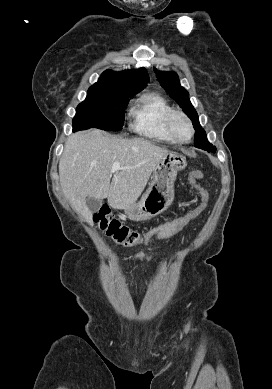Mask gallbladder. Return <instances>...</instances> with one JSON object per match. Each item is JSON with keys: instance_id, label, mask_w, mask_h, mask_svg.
<instances>
[{"instance_id": "gallbladder-1", "label": "gallbladder", "mask_w": 272, "mask_h": 389, "mask_svg": "<svg viewBox=\"0 0 272 389\" xmlns=\"http://www.w3.org/2000/svg\"><path fill=\"white\" fill-rule=\"evenodd\" d=\"M86 204H87V207L89 208V210L92 213H96V212L99 211V209L102 206V200L94 199L92 197H87L86 198Z\"/></svg>"}]
</instances>
